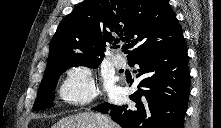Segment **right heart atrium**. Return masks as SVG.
Instances as JSON below:
<instances>
[{"label":"right heart atrium","instance_id":"1","mask_svg":"<svg viewBox=\"0 0 221 128\" xmlns=\"http://www.w3.org/2000/svg\"><path fill=\"white\" fill-rule=\"evenodd\" d=\"M60 95L71 105L91 101L96 95L92 70L83 64L70 66L61 83Z\"/></svg>","mask_w":221,"mask_h":128}]
</instances>
